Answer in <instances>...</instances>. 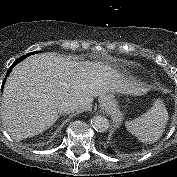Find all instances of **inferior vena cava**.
Segmentation results:
<instances>
[{"label":"inferior vena cava","instance_id":"obj_1","mask_svg":"<svg viewBox=\"0 0 177 177\" xmlns=\"http://www.w3.org/2000/svg\"><path fill=\"white\" fill-rule=\"evenodd\" d=\"M79 109V103L73 100H65L63 101L58 109L59 113H70Z\"/></svg>","mask_w":177,"mask_h":177}]
</instances>
